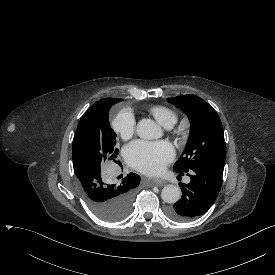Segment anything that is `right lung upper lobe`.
Returning a JSON list of instances; mask_svg holds the SVG:
<instances>
[{
  "label": "right lung upper lobe",
  "instance_id": "1",
  "mask_svg": "<svg viewBox=\"0 0 275 275\" xmlns=\"http://www.w3.org/2000/svg\"><path fill=\"white\" fill-rule=\"evenodd\" d=\"M119 99L117 98H104V99H101L100 101H97L96 103H94L92 106H91V109L93 108H96L102 104H105V103H108V102H114V101H117Z\"/></svg>",
  "mask_w": 275,
  "mask_h": 275
}]
</instances>
